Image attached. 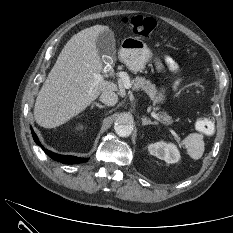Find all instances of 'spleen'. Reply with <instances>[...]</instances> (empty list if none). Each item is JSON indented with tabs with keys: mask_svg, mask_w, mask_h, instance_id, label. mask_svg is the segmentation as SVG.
Listing matches in <instances>:
<instances>
[{
	"mask_svg": "<svg viewBox=\"0 0 233 233\" xmlns=\"http://www.w3.org/2000/svg\"><path fill=\"white\" fill-rule=\"evenodd\" d=\"M183 145L187 148L189 156L198 160L202 157L205 150V143L203 141V135L198 133H191L180 142V146Z\"/></svg>",
	"mask_w": 233,
	"mask_h": 233,
	"instance_id": "1",
	"label": "spleen"
}]
</instances>
